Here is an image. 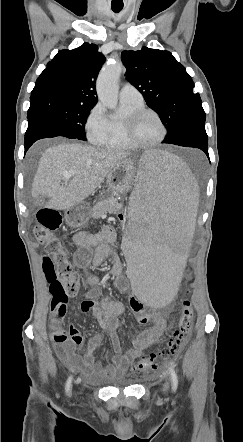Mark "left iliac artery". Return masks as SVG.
<instances>
[{
  "instance_id": "left-iliac-artery-1",
  "label": "left iliac artery",
  "mask_w": 243,
  "mask_h": 442,
  "mask_svg": "<svg viewBox=\"0 0 243 442\" xmlns=\"http://www.w3.org/2000/svg\"><path fill=\"white\" fill-rule=\"evenodd\" d=\"M169 373H170V376H171L172 389L175 391L177 389V386H178V377H177L176 372L173 369V367H169Z\"/></svg>"
}]
</instances>
